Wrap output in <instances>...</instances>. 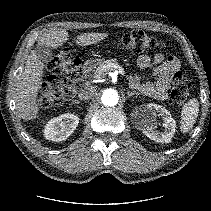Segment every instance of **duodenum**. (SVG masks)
Wrapping results in <instances>:
<instances>
[{
    "instance_id": "obj_1",
    "label": "duodenum",
    "mask_w": 211,
    "mask_h": 211,
    "mask_svg": "<svg viewBox=\"0 0 211 211\" xmlns=\"http://www.w3.org/2000/svg\"><path fill=\"white\" fill-rule=\"evenodd\" d=\"M95 62L94 60H88L84 64H81L79 69L75 70V76L72 77L68 89L70 90L71 95L75 94V91L78 88V82L81 80L86 74L90 73L94 68Z\"/></svg>"
}]
</instances>
